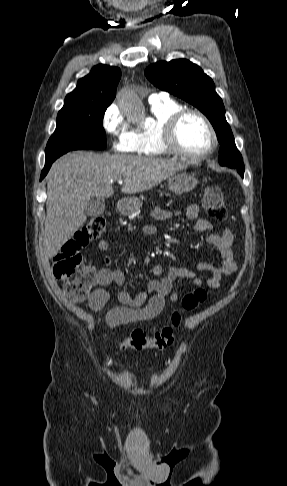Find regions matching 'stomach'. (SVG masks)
Masks as SVG:
<instances>
[{
	"label": "stomach",
	"mask_w": 287,
	"mask_h": 486,
	"mask_svg": "<svg viewBox=\"0 0 287 486\" xmlns=\"http://www.w3.org/2000/svg\"><path fill=\"white\" fill-rule=\"evenodd\" d=\"M168 189L178 194L192 191L198 184V180L190 174L181 173L168 178ZM142 206L140 198L135 196L125 197L118 202L117 208L124 215L135 213Z\"/></svg>",
	"instance_id": "1"
}]
</instances>
